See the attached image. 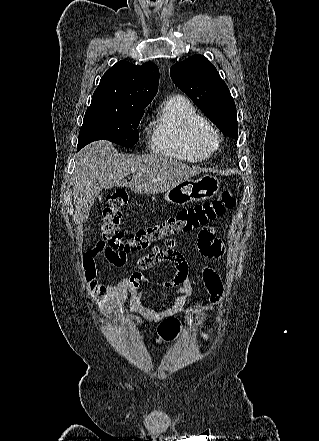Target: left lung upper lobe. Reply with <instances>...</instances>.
I'll use <instances>...</instances> for the list:
<instances>
[{
	"label": "left lung upper lobe",
	"mask_w": 319,
	"mask_h": 441,
	"mask_svg": "<svg viewBox=\"0 0 319 441\" xmlns=\"http://www.w3.org/2000/svg\"><path fill=\"white\" fill-rule=\"evenodd\" d=\"M170 75L224 135L237 139V112L228 86L207 58L193 55L174 64Z\"/></svg>",
	"instance_id": "5c2ea615"
}]
</instances>
